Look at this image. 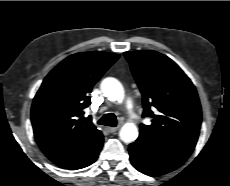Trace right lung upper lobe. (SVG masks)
I'll return each mask as SVG.
<instances>
[{"instance_id": "cb5924a9", "label": "right lung upper lobe", "mask_w": 230, "mask_h": 186, "mask_svg": "<svg viewBox=\"0 0 230 186\" xmlns=\"http://www.w3.org/2000/svg\"><path fill=\"white\" fill-rule=\"evenodd\" d=\"M119 58L103 51L76 53L59 63L44 79L32 104L31 122L43 153L55 164L70 168L102 141L101 131L83 109L91 104L94 84Z\"/></svg>"}]
</instances>
